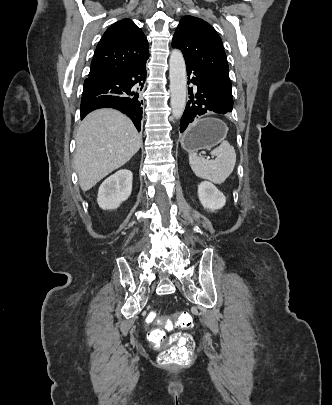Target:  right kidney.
Returning a JSON list of instances; mask_svg holds the SVG:
<instances>
[{
  "label": "right kidney",
  "instance_id": "obj_1",
  "mask_svg": "<svg viewBox=\"0 0 332 405\" xmlns=\"http://www.w3.org/2000/svg\"><path fill=\"white\" fill-rule=\"evenodd\" d=\"M133 174L130 170H119L108 177L99 187L97 202L103 210L117 209L132 192Z\"/></svg>",
  "mask_w": 332,
  "mask_h": 405
}]
</instances>
